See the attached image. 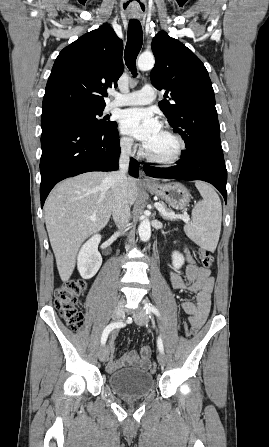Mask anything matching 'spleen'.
Wrapping results in <instances>:
<instances>
[{
  "instance_id": "spleen-1",
  "label": "spleen",
  "mask_w": 269,
  "mask_h": 447,
  "mask_svg": "<svg viewBox=\"0 0 269 447\" xmlns=\"http://www.w3.org/2000/svg\"><path fill=\"white\" fill-rule=\"evenodd\" d=\"M203 200L192 210L193 224L184 225V231L202 249L215 251L219 241L222 222L221 200L212 186L206 182H196Z\"/></svg>"
}]
</instances>
